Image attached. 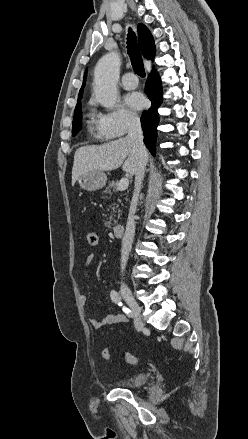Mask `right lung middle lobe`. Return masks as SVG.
Wrapping results in <instances>:
<instances>
[{"mask_svg": "<svg viewBox=\"0 0 248 439\" xmlns=\"http://www.w3.org/2000/svg\"><path fill=\"white\" fill-rule=\"evenodd\" d=\"M82 126V111L81 108L75 111L72 123V135L75 136L81 130Z\"/></svg>", "mask_w": 248, "mask_h": 439, "instance_id": "right-lung-middle-lobe-1", "label": "right lung middle lobe"}]
</instances>
